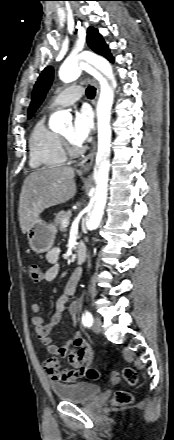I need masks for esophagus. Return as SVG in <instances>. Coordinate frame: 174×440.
I'll return each instance as SVG.
<instances>
[{"label":"esophagus","mask_w":174,"mask_h":440,"mask_svg":"<svg viewBox=\"0 0 174 440\" xmlns=\"http://www.w3.org/2000/svg\"><path fill=\"white\" fill-rule=\"evenodd\" d=\"M99 92H100V87H99V84L97 83L96 84V97H95V102H94L95 107L97 105V100H98V97H99ZM95 155H96V142L94 141L93 144H92V148H91L90 152L86 155V157H84L81 160V162L79 164L80 172H82L84 174L89 172V170L91 169V167H92V165L94 163Z\"/></svg>","instance_id":"esophagus-1"}]
</instances>
